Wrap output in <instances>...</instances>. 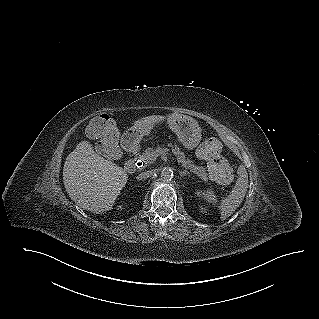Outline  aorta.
<instances>
[{"mask_svg": "<svg viewBox=\"0 0 319 319\" xmlns=\"http://www.w3.org/2000/svg\"><path fill=\"white\" fill-rule=\"evenodd\" d=\"M160 175L162 180L170 181L173 178V171L170 168H164Z\"/></svg>", "mask_w": 319, "mask_h": 319, "instance_id": "1", "label": "aorta"}]
</instances>
